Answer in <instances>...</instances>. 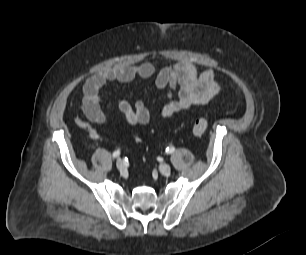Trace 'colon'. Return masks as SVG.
I'll return each mask as SVG.
<instances>
[{"instance_id": "1", "label": "colon", "mask_w": 306, "mask_h": 255, "mask_svg": "<svg viewBox=\"0 0 306 255\" xmlns=\"http://www.w3.org/2000/svg\"><path fill=\"white\" fill-rule=\"evenodd\" d=\"M208 128V121L205 118H196L193 123V133L196 136H202Z\"/></svg>"}]
</instances>
